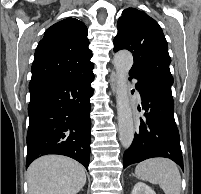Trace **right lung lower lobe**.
<instances>
[{
  "mask_svg": "<svg viewBox=\"0 0 201 194\" xmlns=\"http://www.w3.org/2000/svg\"><path fill=\"white\" fill-rule=\"evenodd\" d=\"M92 70L69 79H37L29 83V128L26 167L47 154L71 157L88 169L93 94Z\"/></svg>",
  "mask_w": 201,
  "mask_h": 194,
  "instance_id": "obj_1",
  "label": "right lung lower lobe"
}]
</instances>
